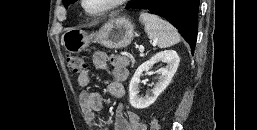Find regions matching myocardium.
Returning <instances> with one entry per match:
<instances>
[{
  "mask_svg": "<svg viewBox=\"0 0 257 130\" xmlns=\"http://www.w3.org/2000/svg\"><path fill=\"white\" fill-rule=\"evenodd\" d=\"M128 1L129 0H113L106 7H104L103 9H101L97 12H91L87 9V7L85 5L86 0H81L80 3H81V7L83 8V10L85 11L86 14H88L90 16H102V15L122 6L123 4H125Z\"/></svg>",
  "mask_w": 257,
  "mask_h": 130,
  "instance_id": "myocardium-1",
  "label": "myocardium"
}]
</instances>
